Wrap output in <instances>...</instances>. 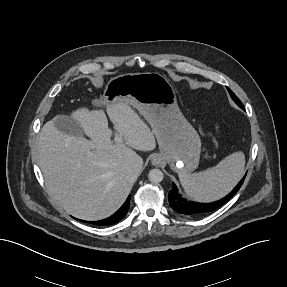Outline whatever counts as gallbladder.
I'll return each instance as SVG.
<instances>
[{
    "instance_id": "1",
    "label": "gallbladder",
    "mask_w": 287,
    "mask_h": 287,
    "mask_svg": "<svg viewBox=\"0 0 287 287\" xmlns=\"http://www.w3.org/2000/svg\"><path fill=\"white\" fill-rule=\"evenodd\" d=\"M54 126L64 134L80 137L83 135V129L78 121L70 116H59L54 120Z\"/></svg>"
}]
</instances>
